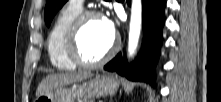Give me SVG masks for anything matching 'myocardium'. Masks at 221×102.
Wrapping results in <instances>:
<instances>
[{"label": "myocardium", "instance_id": "f54148a6", "mask_svg": "<svg viewBox=\"0 0 221 102\" xmlns=\"http://www.w3.org/2000/svg\"><path fill=\"white\" fill-rule=\"evenodd\" d=\"M102 19V15L96 11L82 12L72 23L66 40V52L69 59L77 66L84 68H96L106 63L116 52L118 41L113 38V42L109 50L98 60L90 61L85 59L80 51L79 38L81 31L87 21L91 19Z\"/></svg>", "mask_w": 221, "mask_h": 102}]
</instances>
